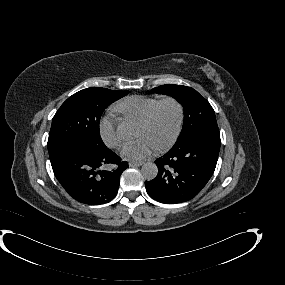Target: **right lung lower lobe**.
Wrapping results in <instances>:
<instances>
[{"label": "right lung lower lobe", "mask_w": 285, "mask_h": 285, "mask_svg": "<svg viewBox=\"0 0 285 285\" xmlns=\"http://www.w3.org/2000/svg\"><path fill=\"white\" fill-rule=\"evenodd\" d=\"M53 172L64 189L77 201L90 205L108 203L117 194L122 172L128 163L112 150L101 153L80 146H67L50 157ZM115 164L113 171L100 170Z\"/></svg>", "instance_id": "right-lung-lower-lobe-1"}]
</instances>
